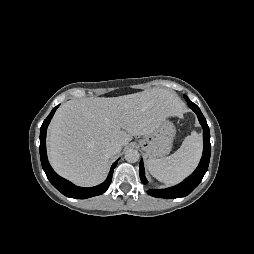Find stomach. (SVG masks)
I'll return each mask as SVG.
<instances>
[{"mask_svg": "<svg viewBox=\"0 0 254 254\" xmlns=\"http://www.w3.org/2000/svg\"><path fill=\"white\" fill-rule=\"evenodd\" d=\"M176 134L174 124L165 119L152 134L146 135L139 145L149 159H158L169 154Z\"/></svg>", "mask_w": 254, "mask_h": 254, "instance_id": "1", "label": "stomach"}]
</instances>
